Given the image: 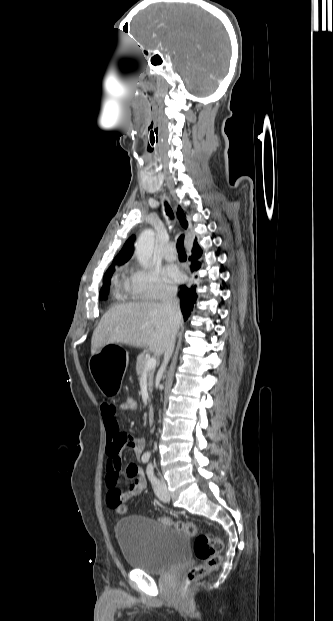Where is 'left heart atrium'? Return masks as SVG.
<instances>
[{
	"mask_svg": "<svg viewBox=\"0 0 333 621\" xmlns=\"http://www.w3.org/2000/svg\"><path fill=\"white\" fill-rule=\"evenodd\" d=\"M165 276L173 282H178L181 279V273L178 268L174 265H169L164 270Z\"/></svg>",
	"mask_w": 333,
	"mask_h": 621,
	"instance_id": "left-heart-atrium-1",
	"label": "left heart atrium"
}]
</instances>
